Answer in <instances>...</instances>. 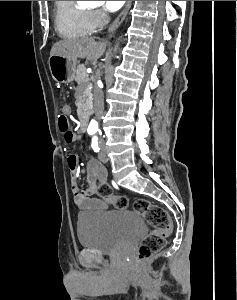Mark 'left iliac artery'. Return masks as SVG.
Wrapping results in <instances>:
<instances>
[{"instance_id":"obj_1","label":"left iliac artery","mask_w":237,"mask_h":300,"mask_svg":"<svg viewBox=\"0 0 237 300\" xmlns=\"http://www.w3.org/2000/svg\"><path fill=\"white\" fill-rule=\"evenodd\" d=\"M91 146H92V148H93V150L95 152H99L100 148L98 146L97 137L96 136L92 138V144H91Z\"/></svg>"}]
</instances>
